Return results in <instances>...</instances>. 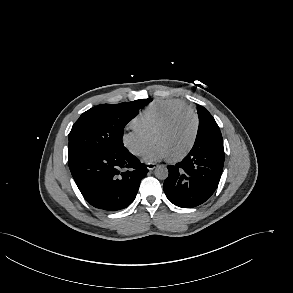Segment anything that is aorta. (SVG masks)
<instances>
[{"label":"aorta","instance_id":"1","mask_svg":"<svg viewBox=\"0 0 293 293\" xmlns=\"http://www.w3.org/2000/svg\"><path fill=\"white\" fill-rule=\"evenodd\" d=\"M155 176L158 178V179H161V180H164L168 177V169L166 166L164 165H159L155 168Z\"/></svg>","mask_w":293,"mask_h":293}]
</instances>
